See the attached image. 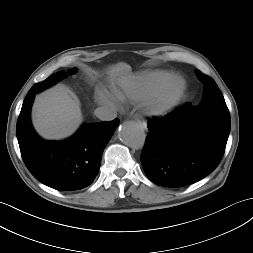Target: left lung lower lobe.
<instances>
[{"mask_svg": "<svg viewBox=\"0 0 253 253\" xmlns=\"http://www.w3.org/2000/svg\"><path fill=\"white\" fill-rule=\"evenodd\" d=\"M141 154L148 178L164 187L193 184L215 170L230 133V114L223 101L187 103L162 119L149 120Z\"/></svg>", "mask_w": 253, "mask_h": 253, "instance_id": "obj_1", "label": "left lung lower lobe"}]
</instances>
